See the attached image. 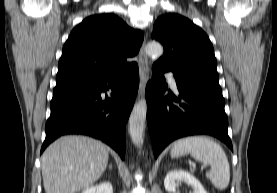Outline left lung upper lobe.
Masks as SVG:
<instances>
[{
	"label": "left lung upper lobe",
	"instance_id": "5c2ea615",
	"mask_svg": "<svg viewBox=\"0 0 277 193\" xmlns=\"http://www.w3.org/2000/svg\"><path fill=\"white\" fill-rule=\"evenodd\" d=\"M152 38L163 44L164 54L154 64L178 79H219L213 46L198 26L174 13L160 16Z\"/></svg>",
	"mask_w": 277,
	"mask_h": 193
}]
</instances>
